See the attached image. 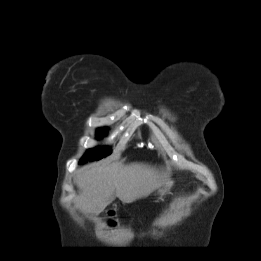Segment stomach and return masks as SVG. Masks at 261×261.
Here are the masks:
<instances>
[{"label": "stomach", "instance_id": "stomach-1", "mask_svg": "<svg viewBox=\"0 0 261 261\" xmlns=\"http://www.w3.org/2000/svg\"><path fill=\"white\" fill-rule=\"evenodd\" d=\"M173 185V181L172 180H168L165 186V189L170 188ZM159 194H163L164 190H159L158 191Z\"/></svg>", "mask_w": 261, "mask_h": 261}]
</instances>
